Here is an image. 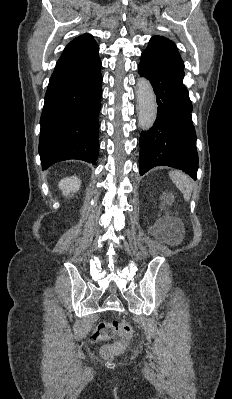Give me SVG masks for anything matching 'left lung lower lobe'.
Wrapping results in <instances>:
<instances>
[{
	"instance_id": "obj_1",
	"label": "left lung lower lobe",
	"mask_w": 232,
	"mask_h": 399,
	"mask_svg": "<svg viewBox=\"0 0 232 399\" xmlns=\"http://www.w3.org/2000/svg\"><path fill=\"white\" fill-rule=\"evenodd\" d=\"M138 68L150 81L158 104L154 125L140 136V175L164 165L183 170L196 180L199 161L193 105L183 83L184 63L176 46L150 40Z\"/></svg>"
}]
</instances>
